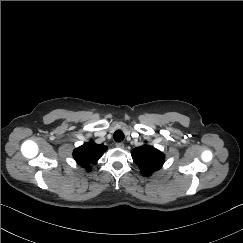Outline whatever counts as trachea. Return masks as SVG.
Returning a JSON list of instances; mask_svg holds the SVG:
<instances>
[{
    "label": "trachea",
    "instance_id": "obj_1",
    "mask_svg": "<svg viewBox=\"0 0 243 243\" xmlns=\"http://www.w3.org/2000/svg\"><path fill=\"white\" fill-rule=\"evenodd\" d=\"M113 137H114V140L116 142H121L124 139L125 136H124V133L121 130H117V131L114 132Z\"/></svg>",
    "mask_w": 243,
    "mask_h": 243
}]
</instances>
